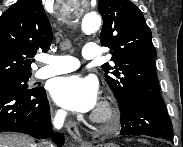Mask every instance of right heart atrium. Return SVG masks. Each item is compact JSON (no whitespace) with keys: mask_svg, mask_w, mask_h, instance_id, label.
<instances>
[{"mask_svg":"<svg viewBox=\"0 0 183 147\" xmlns=\"http://www.w3.org/2000/svg\"><path fill=\"white\" fill-rule=\"evenodd\" d=\"M58 116H59V117H61V116H62V113H61V112H59V113H58Z\"/></svg>","mask_w":183,"mask_h":147,"instance_id":"d8ad5b80","label":"right heart atrium"}]
</instances>
